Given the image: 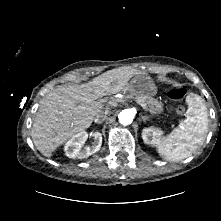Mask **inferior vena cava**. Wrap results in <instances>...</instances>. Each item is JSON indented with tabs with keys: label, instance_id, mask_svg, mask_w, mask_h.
Instances as JSON below:
<instances>
[{
	"label": "inferior vena cava",
	"instance_id": "obj_1",
	"mask_svg": "<svg viewBox=\"0 0 221 221\" xmlns=\"http://www.w3.org/2000/svg\"><path fill=\"white\" fill-rule=\"evenodd\" d=\"M108 114H109L108 110L101 111V112L97 113L94 118V122L97 124H101L102 122H104L107 119Z\"/></svg>",
	"mask_w": 221,
	"mask_h": 221
}]
</instances>
